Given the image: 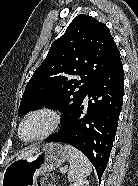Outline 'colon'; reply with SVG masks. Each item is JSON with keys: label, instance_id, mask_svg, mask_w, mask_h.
<instances>
[{"label": "colon", "instance_id": "obj_1", "mask_svg": "<svg viewBox=\"0 0 138 186\" xmlns=\"http://www.w3.org/2000/svg\"><path fill=\"white\" fill-rule=\"evenodd\" d=\"M63 177L59 173H51L38 179V186H61Z\"/></svg>", "mask_w": 138, "mask_h": 186}]
</instances>
